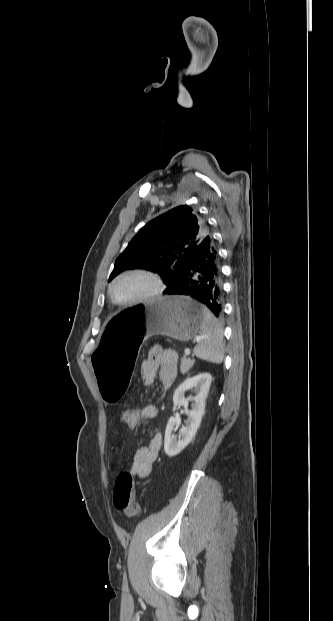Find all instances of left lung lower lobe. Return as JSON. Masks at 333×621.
Here are the masks:
<instances>
[{"label": "left lung lower lobe", "instance_id": "1", "mask_svg": "<svg viewBox=\"0 0 333 621\" xmlns=\"http://www.w3.org/2000/svg\"><path fill=\"white\" fill-rule=\"evenodd\" d=\"M164 294L186 295L207 306L217 317L222 314V274L219 254L210 235L206 236L186 262L179 279Z\"/></svg>", "mask_w": 333, "mask_h": 621}]
</instances>
